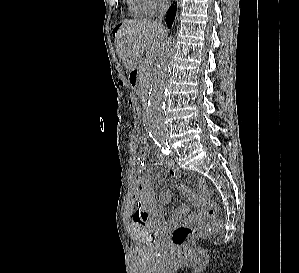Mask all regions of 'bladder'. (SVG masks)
Instances as JSON below:
<instances>
[{"label":"bladder","mask_w":299,"mask_h":273,"mask_svg":"<svg viewBox=\"0 0 299 273\" xmlns=\"http://www.w3.org/2000/svg\"><path fill=\"white\" fill-rule=\"evenodd\" d=\"M141 224L155 233H163L165 231L164 221L157 216L148 215L143 220L139 221Z\"/></svg>","instance_id":"31cf9c89"}]
</instances>
